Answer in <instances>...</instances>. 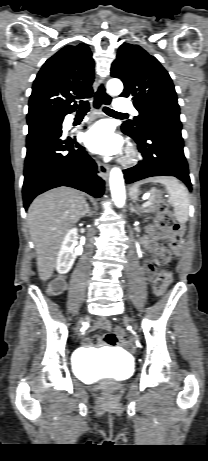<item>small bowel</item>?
I'll use <instances>...</instances> for the list:
<instances>
[{
    "label": "small bowel",
    "instance_id": "1",
    "mask_svg": "<svg viewBox=\"0 0 208 461\" xmlns=\"http://www.w3.org/2000/svg\"><path fill=\"white\" fill-rule=\"evenodd\" d=\"M167 234L165 232H158L154 228H150L148 232V236L143 240L144 245L149 249L151 252H156L158 250L157 241L160 239H165ZM144 272L148 277H151L155 273V268L148 266L146 263L144 266ZM55 282L64 284V279L59 277L55 280ZM110 327L109 322L106 320H101L95 326V329H108ZM121 342V337L118 336L117 332H109L104 338L98 337L94 340V344L101 345L103 343L107 344L108 351H117L119 348V344ZM89 343V341H86Z\"/></svg>",
    "mask_w": 208,
    "mask_h": 461
}]
</instances>
